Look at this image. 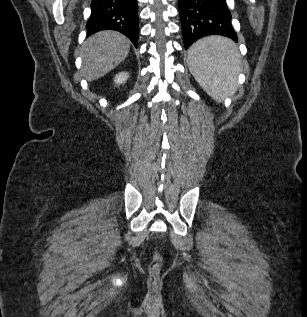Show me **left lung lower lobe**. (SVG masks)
Instances as JSON below:
<instances>
[{
    "mask_svg": "<svg viewBox=\"0 0 307 317\" xmlns=\"http://www.w3.org/2000/svg\"><path fill=\"white\" fill-rule=\"evenodd\" d=\"M185 49L207 35H222L237 42L226 0H178ZM229 56L228 52L225 54Z\"/></svg>",
    "mask_w": 307,
    "mask_h": 317,
    "instance_id": "1",
    "label": "left lung lower lobe"
}]
</instances>
